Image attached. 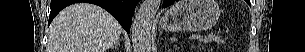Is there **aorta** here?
Segmentation results:
<instances>
[{"instance_id": "762f6f07", "label": "aorta", "mask_w": 305, "mask_h": 52, "mask_svg": "<svg viewBox=\"0 0 305 52\" xmlns=\"http://www.w3.org/2000/svg\"><path fill=\"white\" fill-rule=\"evenodd\" d=\"M160 0H144L135 15L131 35L134 52H151V26Z\"/></svg>"}]
</instances>
